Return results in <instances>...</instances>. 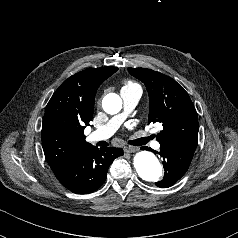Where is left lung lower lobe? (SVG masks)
I'll return each mask as SVG.
<instances>
[{
	"label": "left lung lower lobe",
	"mask_w": 238,
	"mask_h": 238,
	"mask_svg": "<svg viewBox=\"0 0 238 238\" xmlns=\"http://www.w3.org/2000/svg\"><path fill=\"white\" fill-rule=\"evenodd\" d=\"M164 166V177L156 182L158 187L168 188L174 185L188 170L195 150L168 145H160V152Z\"/></svg>",
	"instance_id": "0a47b994"
}]
</instances>
